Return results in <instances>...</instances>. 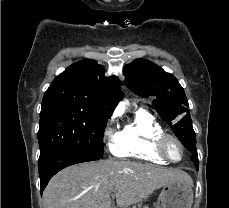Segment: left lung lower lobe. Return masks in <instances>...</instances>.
I'll return each mask as SVG.
<instances>
[{"label": "left lung lower lobe", "mask_w": 229, "mask_h": 208, "mask_svg": "<svg viewBox=\"0 0 229 208\" xmlns=\"http://www.w3.org/2000/svg\"><path fill=\"white\" fill-rule=\"evenodd\" d=\"M196 141L191 142V143H186L183 144L184 147L186 149H188L193 155L190 157V160L193 161L196 169L198 170V166H199V161H198V157H197V151H196Z\"/></svg>", "instance_id": "1"}]
</instances>
